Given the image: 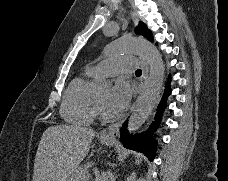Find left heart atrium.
<instances>
[{
  "label": "left heart atrium",
  "mask_w": 228,
  "mask_h": 181,
  "mask_svg": "<svg viewBox=\"0 0 228 181\" xmlns=\"http://www.w3.org/2000/svg\"><path fill=\"white\" fill-rule=\"evenodd\" d=\"M130 96V85L124 80L118 81L108 99V107L115 112L122 111ZM121 98V99H120Z\"/></svg>",
  "instance_id": "1"
}]
</instances>
